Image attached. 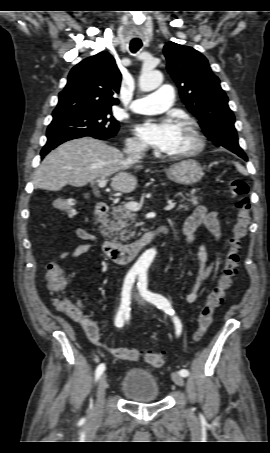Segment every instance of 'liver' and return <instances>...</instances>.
<instances>
[{"label": "liver", "instance_id": "liver-1", "mask_svg": "<svg viewBox=\"0 0 270 453\" xmlns=\"http://www.w3.org/2000/svg\"><path fill=\"white\" fill-rule=\"evenodd\" d=\"M131 168L142 166H134L118 149L101 140L83 137L50 152L35 171L33 185L37 189L59 191L67 184L81 187L114 175L111 188L130 193L137 186L136 177L127 171Z\"/></svg>", "mask_w": 270, "mask_h": 453}]
</instances>
